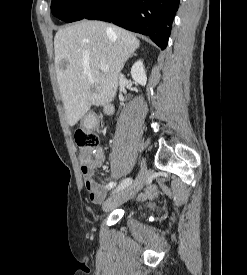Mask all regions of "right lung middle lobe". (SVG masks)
Masks as SVG:
<instances>
[{
  "instance_id": "dd1d6c3e",
  "label": "right lung middle lobe",
  "mask_w": 247,
  "mask_h": 275,
  "mask_svg": "<svg viewBox=\"0 0 247 275\" xmlns=\"http://www.w3.org/2000/svg\"><path fill=\"white\" fill-rule=\"evenodd\" d=\"M105 0H52L54 16L69 23L83 19Z\"/></svg>"
}]
</instances>
